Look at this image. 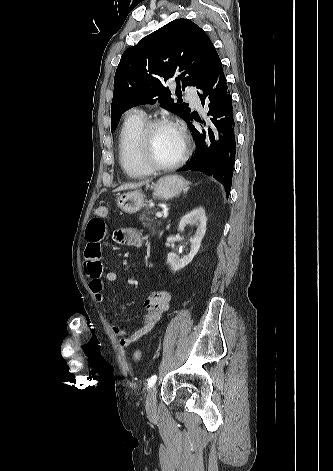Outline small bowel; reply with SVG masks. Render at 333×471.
<instances>
[{
    "instance_id": "obj_1",
    "label": "small bowel",
    "mask_w": 333,
    "mask_h": 471,
    "mask_svg": "<svg viewBox=\"0 0 333 471\" xmlns=\"http://www.w3.org/2000/svg\"><path fill=\"white\" fill-rule=\"evenodd\" d=\"M105 217L95 216L87 224V244L84 252V268L90 278L89 287L96 302L104 300V282H115L118 274L115 271L104 272L102 264L101 242L108 234ZM114 240L131 246H141L142 236L134 228H122L114 232ZM172 296L168 291L151 293L144 302L143 320L138 328L129 332L117 324L111 326L112 332L119 337V343L127 348L133 342L146 336L160 323L163 315L171 308Z\"/></svg>"
}]
</instances>
